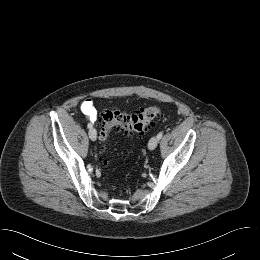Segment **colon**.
I'll use <instances>...</instances> for the list:
<instances>
[{
    "label": "colon",
    "mask_w": 260,
    "mask_h": 260,
    "mask_svg": "<svg viewBox=\"0 0 260 260\" xmlns=\"http://www.w3.org/2000/svg\"><path fill=\"white\" fill-rule=\"evenodd\" d=\"M161 114L157 105H151L136 114H125L118 110H106L101 113L99 139L105 142L113 130H122L128 135L143 134L151 122ZM101 147V151H104Z\"/></svg>",
    "instance_id": "1"
}]
</instances>
